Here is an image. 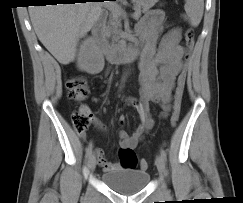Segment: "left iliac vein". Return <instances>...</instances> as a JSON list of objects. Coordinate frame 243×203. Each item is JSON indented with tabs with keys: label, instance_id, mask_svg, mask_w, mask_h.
Instances as JSON below:
<instances>
[{
	"label": "left iliac vein",
	"instance_id": "obj_1",
	"mask_svg": "<svg viewBox=\"0 0 243 203\" xmlns=\"http://www.w3.org/2000/svg\"><path fill=\"white\" fill-rule=\"evenodd\" d=\"M155 163H156V166H157V169L160 173V176H161V181L164 182V177H165V162L162 158L161 155H157L156 156V159H155Z\"/></svg>",
	"mask_w": 243,
	"mask_h": 203
}]
</instances>
